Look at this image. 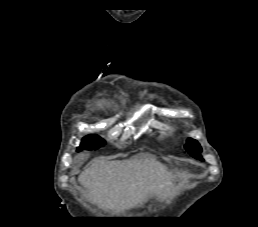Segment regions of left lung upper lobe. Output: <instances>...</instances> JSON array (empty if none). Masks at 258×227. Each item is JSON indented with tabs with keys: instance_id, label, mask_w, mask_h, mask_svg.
<instances>
[{
	"instance_id": "obj_1",
	"label": "left lung upper lobe",
	"mask_w": 258,
	"mask_h": 227,
	"mask_svg": "<svg viewBox=\"0 0 258 227\" xmlns=\"http://www.w3.org/2000/svg\"><path fill=\"white\" fill-rule=\"evenodd\" d=\"M185 148L193 157L203 160V158L200 155L202 149L200 147V144L196 140L189 138L187 140Z\"/></svg>"
}]
</instances>
